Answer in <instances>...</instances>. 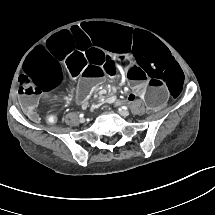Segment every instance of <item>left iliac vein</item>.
Instances as JSON below:
<instances>
[{
  "label": "left iliac vein",
  "mask_w": 215,
  "mask_h": 215,
  "mask_svg": "<svg viewBox=\"0 0 215 215\" xmlns=\"http://www.w3.org/2000/svg\"><path fill=\"white\" fill-rule=\"evenodd\" d=\"M119 113L122 115V116H124V117H127V116H129V111H127V110H123V109H121L120 111H119Z\"/></svg>",
  "instance_id": "left-iliac-vein-1"
}]
</instances>
